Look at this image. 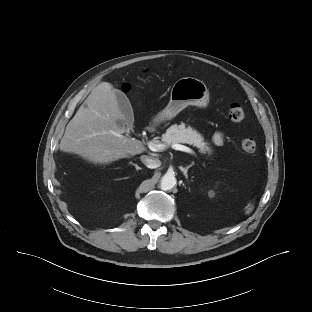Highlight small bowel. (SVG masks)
<instances>
[{
    "instance_id": "c3829d8e",
    "label": "small bowel",
    "mask_w": 312,
    "mask_h": 312,
    "mask_svg": "<svg viewBox=\"0 0 312 312\" xmlns=\"http://www.w3.org/2000/svg\"><path fill=\"white\" fill-rule=\"evenodd\" d=\"M225 137L222 132H216L212 136V142L215 145H222L224 143Z\"/></svg>"
}]
</instances>
